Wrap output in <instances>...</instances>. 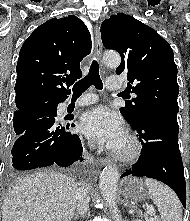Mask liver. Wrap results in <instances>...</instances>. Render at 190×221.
<instances>
[{
  "mask_svg": "<svg viewBox=\"0 0 190 221\" xmlns=\"http://www.w3.org/2000/svg\"><path fill=\"white\" fill-rule=\"evenodd\" d=\"M77 182L62 173L36 172L19 179L2 204V221H71Z\"/></svg>",
  "mask_w": 190,
  "mask_h": 221,
  "instance_id": "obj_1",
  "label": "liver"
}]
</instances>
